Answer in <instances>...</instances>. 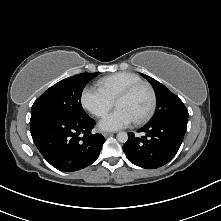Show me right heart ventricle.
I'll use <instances>...</instances> for the list:
<instances>
[{
	"mask_svg": "<svg viewBox=\"0 0 221 221\" xmlns=\"http://www.w3.org/2000/svg\"><path fill=\"white\" fill-rule=\"evenodd\" d=\"M142 81V78L132 72H119L100 79L97 82L101 90L113 102L117 96L130 85Z\"/></svg>",
	"mask_w": 221,
	"mask_h": 221,
	"instance_id": "1",
	"label": "right heart ventricle"
}]
</instances>
